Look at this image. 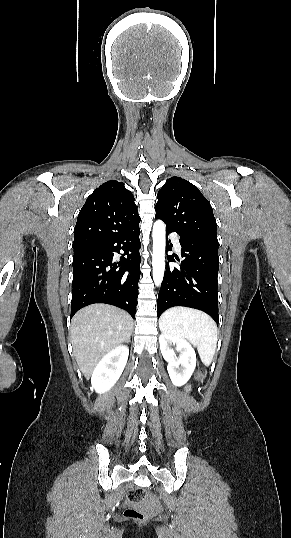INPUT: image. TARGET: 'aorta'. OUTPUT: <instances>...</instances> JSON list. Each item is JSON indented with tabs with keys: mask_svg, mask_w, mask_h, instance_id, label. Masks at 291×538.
Segmentation results:
<instances>
[{
	"mask_svg": "<svg viewBox=\"0 0 291 538\" xmlns=\"http://www.w3.org/2000/svg\"><path fill=\"white\" fill-rule=\"evenodd\" d=\"M153 280L160 286L165 271V224L157 220L153 225Z\"/></svg>",
	"mask_w": 291,
	"mask_h": 538,
	"instance_id": "aorta-1",
	"label": "aorta"
}]
</instances>
